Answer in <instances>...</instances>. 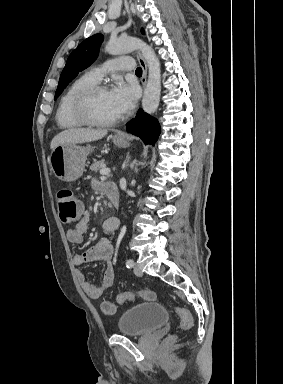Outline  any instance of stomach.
<instances>
[{
	"mask_svg": "<svg viewBox=\"0 0 283 384\" xmlns=\"http://www.w3.org/2000/svg\"><path fill=\"white\" fill-rule=\"evenodd\" d=\"M115 146L119 148H127L129 146V138L123 136L118 138L117 134L113 138ZM90 152L89 146H77V144H63L57 146L50 154L51 170L59 180L63 182H75L83 172H85V162Z\"/></svg>",
	"mask_w": 283,
	"mask_h": 384,
	"instance_id": "obj_1",
	"label": "stomach"
}]
</instances>
